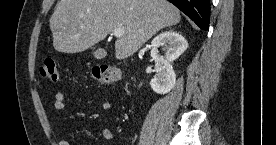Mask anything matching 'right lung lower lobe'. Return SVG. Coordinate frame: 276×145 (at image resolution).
I'll return each instance as SVG.
<instances>
[{
  "mask_svg": "<svg viewBox=\"0 0 276 145\" xmlns=\"http://www.w3.org/2000/svg\"><path fill=\"white\" fill-rule=\"evenodd\" d=\"M191 18L201 29L209 27L210 0H168Z\"/></svg>",
  "mask_w": 276,
  "mask_h": 145,
  "instance_id": "1",
  "label": "right lung lower lobe"
}]
</instances>
